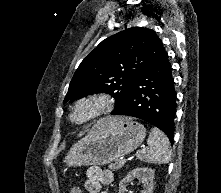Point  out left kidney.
I'll return each mask as SVG.
<instances>
[{
	"label": "left kidney",
	"mask_w": 221,
	"mask_h": 193,
	"mask_svg": "<svg viewBox=\"0 0 221 193\" xmlns=\"http://www.w3.org/2000/svg\"><path fill=\"white\" fill-rule=\"evenodd\" d=\"M134 178H138L144 186L142 193H152L154 183V170L151 168H135L130 171L125 178H123L119 183V193H125L126 186Z\"/></svg>",
	"instance_id": "5707ae66"
}]
</instances>
